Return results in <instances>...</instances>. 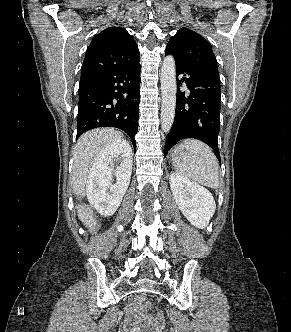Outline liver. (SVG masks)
<instances>
[{
  "label": "liver",
  "mask_w": 291,
  "mask_h": 332,
  "mask_svg": "<svg viewBox=\"0 0 291 332\" xmlns=\"http://www.w3.org/2000/svg\"><path fill=\"white\" fill-rule=\"evenodd\" d=\"M119 141H124L122 134L111 128L94 129L86 132L78 139L74 147L72 168V188L78 199L81 200L85 196V184L90 169L100 152L108 145ZM77 215L91 233L97 231L98 223L94 219V212L89 206L79 204Z\"/></svg>",
  "instance_id": "obj_1"
}]
</instances>
